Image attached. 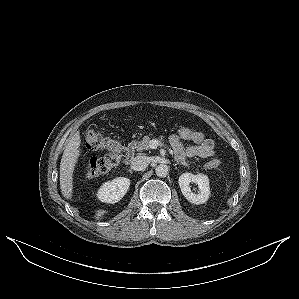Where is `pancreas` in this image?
Instances as JSON below:
<instances>
[{"mask_svg":"<svg viewBox=\"0 0 299 299\" xmlns=\"http://www.w3.org/2000/svg\"><path fill=\"white\" fill-rule=\"evenodd\" d=\"M152 140L150 139L149 136H144L141 141H138L135 143V149L137 151H143V150H148L150 148V142Z\"/></svg>","mask_w":299,"mask_h":299,"instance_id":"obj_1","label":"pancreas"}]
</instances>
